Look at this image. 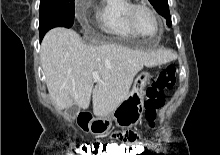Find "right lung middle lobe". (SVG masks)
Returning a JSON list of instances; mask_svg holds the SVG:
<instances>
[{
	"label": "right lung middle lobe",
	"instance_id": "obj_1",
	"mask_svg": "<svg viewBox=\"0 0 220 155\" xmlns=\"http://www.w3.org/2000/svg\"><path fill=\"white\" fill-rule=\"evenodd\" d=\"M40 40L51 28L62 26L70 28L74 22V0H41L40 2Z\"/></svg>",
	"mask_w": 220,
	"mask_h": 155
}]
</instances>
